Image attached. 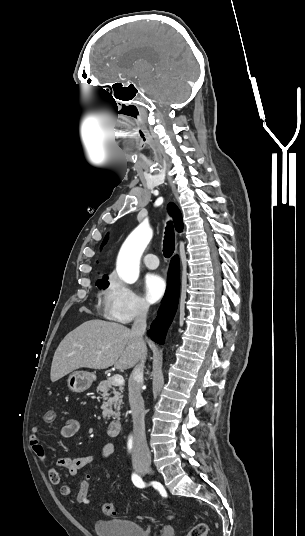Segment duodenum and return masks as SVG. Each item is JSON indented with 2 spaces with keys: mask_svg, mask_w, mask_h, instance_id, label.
Returning a JSON list of instances; mask_svg holds the SVG:
<instances>
[{
  "mask_svg": "<svg viewBox=\"0 0 305 536\" xmlns=\"http://www.w3.org/2000/svg\"><path fill=\"white\" fill-rule=\"evenodd\" d=\"M122 426L118 420L110 421L105 426V431L108 435L116 436L121 432Z\"/></svg>",
  "mask_w": 305,
  "mask_h": 536,
  "instance_id": "duodenum-1",
  "label": "duodenum"
}]
</instances>
